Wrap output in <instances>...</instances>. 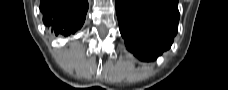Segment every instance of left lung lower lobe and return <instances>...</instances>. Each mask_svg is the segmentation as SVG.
I'll use <instances>...</instances> for the list:
<instances>
[{
	"mask_svg": "<svg viewBox=\"0 0 228 90\" xmlns=\"http://www.w3.org/2000/svg\"><path fill=\"white\" fill-rule=\"evenodd\" d=\"M116 13L127 48L142 60L156 59L177 34V0H116Z\"/></svg>",
	"mask_w": 228,
	"mask_h": 90,
	"instance_id": "1",
	"label": "left lung lower lobe"
}]
</instances>
